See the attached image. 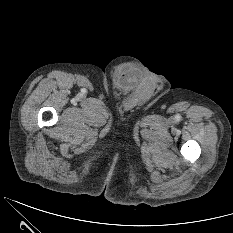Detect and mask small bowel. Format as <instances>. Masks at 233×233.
Wrapping results in <instances>:
<instances>
[{"label":"small bowel","mask_w":233,"mask_h":233,"mask_svg":"<svg viewBox=\"0 0 233 233\" xmlns=\"http://www.w3.org/2000/svg\"><path fill=\"white\" fill-rule=\"evenodd\" d=\"M137 80L138 73L132 65L119 66L115 71V83L122 90L128 91L132 89Z\"/></svg>","instance_id":"small-bowel-1"}]
</instances>
